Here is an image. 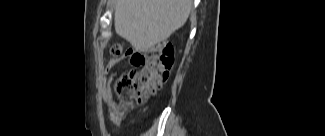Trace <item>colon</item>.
Masks as SVG:
<instances>
[{"instance_id": "5ec220e1", "label": "colon", "mask_w": 325, "mask_h": 136, "mask_svg": "<svg viewBox=\"0 0 325 136\" xmlns=\"http://www.w3.org/2000/svg\"><path fill=\"white\" fill-rule=\"evenodd\" d=\"M114 59L124 56L123 46L115 44L111 48ZM173 64V48L168 42L152 46L146 53V62L142 70L129 82L122 96V108L129 109L133 103L143 104L155 94L167 81Z\"/></svg>"}]
</instances>
